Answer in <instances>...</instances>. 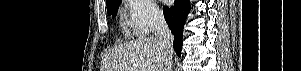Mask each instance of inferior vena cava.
I'll list each match as a JSON object with an SVG mask.
<instances>
[{"label":"inferior vena cava","instance_id":"1","mask_svg":"<svg viewBox=\"0 0 301 71\" xmlns=\"http://www.w3.org/2000/svg\"><path fill=\"white\" fill-rule=\"evenodd\" d=\"M154 31L164 57L162 71H171L174 37L161 13L154 16Z\"/></svg>","mask_w":301,"mask_h":71}]
</instances>
